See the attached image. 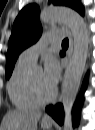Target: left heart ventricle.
<instances>
[{"mask_svg":"<svg viewBox=\"0 0 95 130\" xmlns=\"http://www.w3.org/2000/svg\"><path fill=\"white\" fill-rule=\"evenodd\" d=\"M33 78L35 81V85L37 87V90L42 97H48L52 94L54 88L50 87L44 79V75L42 71H37L33 73Z\"/></svg>","mask_w":95,"mask_h":130,"instance_id":"obj_1","label":"left heart ventricle"}]
</instances>
